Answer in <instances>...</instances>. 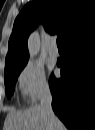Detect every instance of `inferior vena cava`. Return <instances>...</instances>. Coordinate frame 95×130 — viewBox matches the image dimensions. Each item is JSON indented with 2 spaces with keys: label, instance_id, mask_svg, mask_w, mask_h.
Segmentation results:
<instances>
[{
  "label": "inferior vena cava",
  "instance_id": "1",
  "mask_svg": "<svg viewBox=\"0 0 95 130\" xmlns=\"http://www.w3.org/2000/svg\"><path fill=\"white\" fill-rule=\"evenodd\" d=\"M40 108L48 120L49 130H56L57 117L52 109V95L49 88H45L40 94Z\"/></svg>",
  "mask_w": 95,
  "mask_h": 130
}]
</instances>
